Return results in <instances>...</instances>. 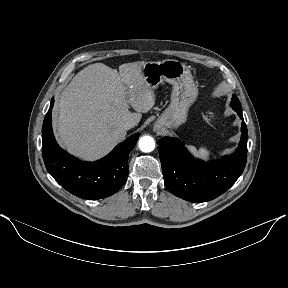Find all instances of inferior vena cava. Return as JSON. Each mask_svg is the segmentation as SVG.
<instances>
[{"mask_svg": "<svg viewBox=\"0 0 288 288\" xmlns=\"http://www.w3.org/2000/svg\"><path fill=\"white\" fill-rule=\"evenodd\" d=\"M136 125H137V122L133 119H130L123 124V128L128 130V129L135 127Z\"/></svg>", "mask_w": 288, "mask_h": 288, "instance_id": "inferior-vena-cava-1", "label": "inferior vena cava"}]
</instances>
